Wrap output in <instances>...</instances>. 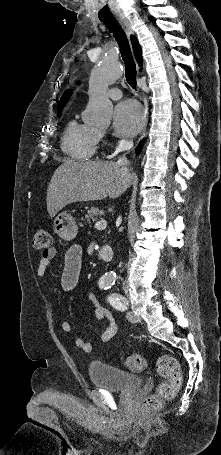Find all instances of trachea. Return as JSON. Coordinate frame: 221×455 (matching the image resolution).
I'll use <instances>...</instances> for the list:
<instances>
[{"label": "trachea", "instance_id": "1", "mask_svg": "<svg viewBox=\"0 0 221 455\" xmlns=\"http://www.w3.org/2000/svg\"><path fill=\"white\" fill-rule=\"evenodd\" d=\"M101 21L106 25V27L113 33L120 51L121 56L125 64V77L129 85L134 89L136 87V65L131 53L130 45L126 34L124 33L121 26L113 18H102Z\"/></svg>", "mask_w": 221, "mask_h": 455}]
</instances>
